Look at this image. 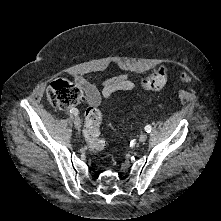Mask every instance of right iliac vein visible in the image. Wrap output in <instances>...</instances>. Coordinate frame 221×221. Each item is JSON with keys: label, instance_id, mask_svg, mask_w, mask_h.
<instances>
[{"label": "right iliac vein", "instance_id": "right-iliac-vein-1", "mask_svg": "<svg viewBox=\"0 0 221 221\" xmlns=\"http://www.w3.org/2000/svg\"><path fill=\"white\" fill-rule=\"evenodd\" d=\"M74 125H75V128L77 130H80V128H81V119L78 116H76L74 118Z\"/></svg>", "mask_w": 221, "mask_h": 221}]
</instances>
